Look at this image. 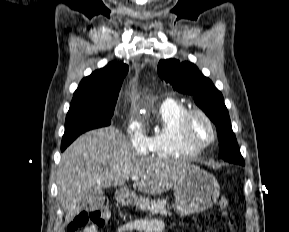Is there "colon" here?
<instances>
[{
	"mask_svg": "<svg viewBox=\"0 0 289 232\" xmlns=\"http://www.w3.org/2000/svg\"><path fill=\"white\" fill-rule=\"evenodd\" d=\"M218 205L223 210L224 215L227 216L226 209L228 208L229 200L226 197L222 196L218 201ZM109 216L110 211L107 206L96 210L83 211L79 213L70 223L68 231L77 232L79 229L87 227L89 225H94L97 227L102 226L108 220ZM228 226L230 232H234L231 220H228Z\"/></svg>",
	"mask_w": 289,
	"mask_h": 232,
	"instance_id": "obj_1",
	"label": "colon"
}]
</instances>
